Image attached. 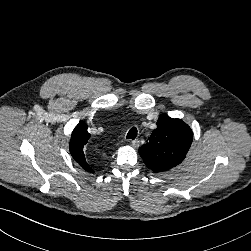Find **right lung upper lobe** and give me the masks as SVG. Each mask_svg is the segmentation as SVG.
I'll list each match as a JSON object with an SVG mask.
<instances>
[{
	"label": "right lung upper lobe",
	"instance_id": "obj_1",
	"mask_svg": "<svg viewBox=\"0 0 251 251\" xmlns=\"http://www.w3.org/2000/svg\"><path fill=\"white\" fill-rule=\"evenodd\" d=\"M88 126L80 122L72 132L69 149L75 161L87 172L94 173L93 169L86 161L83 148L87 144L90 134L87 131Z\"/></svg>",
	"mask_w": 251,
	"mask_h": 251
}]
</instances>
